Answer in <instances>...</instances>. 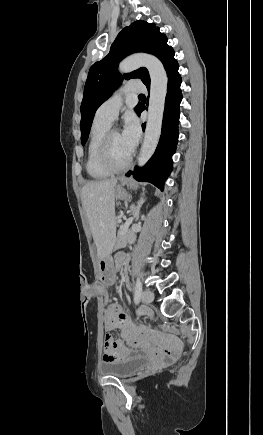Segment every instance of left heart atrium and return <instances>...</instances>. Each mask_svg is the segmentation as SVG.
<instances>
[{"instance_id": "left-heart-atrium-1", "label": "left heart atrium", "mask_w": 263, "mask_h": 435, "mask_svg": "<svg viewBox=\"0 0 263 435\" xmlns=\"http://www.w3.org/2000/svg\"><path fill=\"white\" fill-rule=\"evenodd\" d=\"M141 131L135 116L129 115L121 132L122 140L130 152H133L140 139Z\"/></svg>"}]
</instances>
